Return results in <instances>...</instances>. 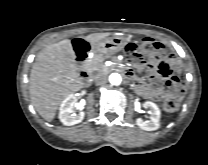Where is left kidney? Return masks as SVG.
<instances>
[{
	"label": "left kidney",
	"mask_w": 208,
	"mask_h": 165,
	"mask_svg": "<svg viewBox=\"0 0 208 165\" xmlns=\"http://www.w3.org/2000/svg\"><path fill=\"white\" fill-rule=\"evenodd\" d=\"M144 107L149 109V114H150V120H143L141 118L136 119V124L138 127L145 131H154L157 130L160 127V117H161V112L158 106L150 101H146L144 103Z\"/></svg>",
	"instance_id": "obj_1"
}]
</instances>
